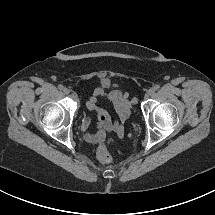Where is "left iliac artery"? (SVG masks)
Instances as JSON below:
<instances>
[{
  "label": "left iliac artery",
  "mask_w": 215,
  "mask_h": 215,
  "mask_svg": "<svg viewBox=\"0 0 215 215\" xmlns=\"http://www.w3.org/2000/svg\"><path fill=\"white\" fill-rule=\"evenodd\" d=\"M160 86L159 85H155L154 86V90H159Z\"/></svg>",
  "instance_id": "obj_1"
}]
</instances>
